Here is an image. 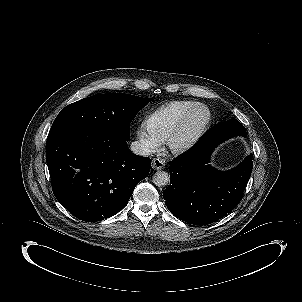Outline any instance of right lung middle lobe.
<instances>
[{
	"mask_svg": "<svg viewBox=\"0 0 302 302\" xmlns=\"http://www.w3.org/2000/svg\"><path fill=\"white\" fill-rule=\"evenodd\" d=\"M150 99L108 93L81 99L66 106L54 120L49 135L82 127L106 130L128 141L130 122Z\"/></svg>",
	"mask_w": 302,
	"mask_h": 302,
	"instance_id": "1",
	"label": "right lung middle lobe"
}]
</instances>
